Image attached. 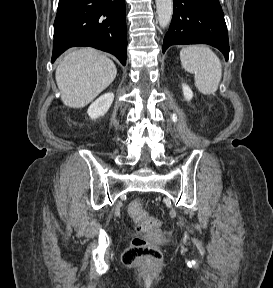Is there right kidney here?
<instances>
[{
	"mask_svg": "<svg viewBox=\"0 0 273 288\" xmlns=\"http://www.w3.org/2000/svg\"><path fill=\"white\" fill-rule=\"evenodd\" d=\"M114 100V94L109 92L100 96L88 108L87 113L91 119L104 116Z\"/></svg>",
	"mask_w": 273,
	"mask_h": 288,
	"instance_id": "right-kidney-1",
	"label": "right kidney"
}]
</instances>
